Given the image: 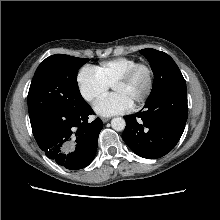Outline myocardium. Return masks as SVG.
Masks as SVG:
<instances>
[{"instance_id":"f54148a6","label":"myocardium","mask_w":220,"mask_h":220,"mask_svg":"<svg viewBox=\"0 0 220 220\" xmlns=\"http://www.w3.org/2000/svg\"><path fill=\"white\" fill-rule=\"evenodd\" d=\"M140 70L146 71L148 81H147V87H146L144 94L138 100L135 101L134 106H138V105L145 103L152 94L154 83H155V73H154V69L152 68L150 64L148 63L135 64L129 70H127L120 78H118L112 85V88H114L115 86L127 84L134 78V76Z\"/></svg>"}]
</instances>
